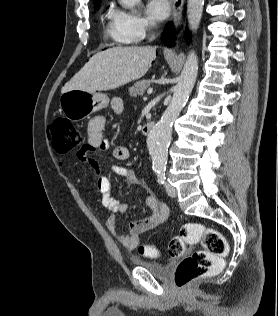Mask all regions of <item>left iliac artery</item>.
Listing matches in <instances>:
<instances>
[{
  "label": "left iliac artery",
  "instance_id": "obj_1",
  "mask_svg": "<svg viewBox=\"0 0 278 316\" xmlns=\"http://www.w3.org/2000/svg\"><path fill=\"white\" fill-rule=\"evenodd\" d=\"M165 168H160V169H158V171H157V174H158V182L160 183V184H163L164 183V181H165Z\"/></svg>",
  "mask_w": 278,
  "mask_h": 316
}]
</instances>
